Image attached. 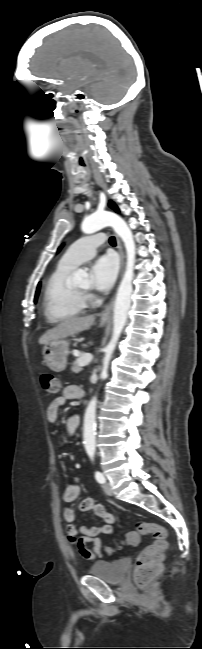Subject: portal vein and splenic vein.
Wrapping results in <instances>:
<instances>
[{
    "label": "portal vein and splenic vein",
    "instance_id": "portal-vein-and-splenic-vein-1",
    "mask_svg": "<svg viewBox=\"0 0 202 649\" xmlns=\"http://www.w3.org/2000/svg\"><path fill=\"white\" fill-rule=\"evenodd\" d=\"M93 357L90 354H85L79 358V365L81 367L87 366L92 361Z\"/></svg>",
    "mask_w": 202,
    "mask_h": 649
}]
</instances>
